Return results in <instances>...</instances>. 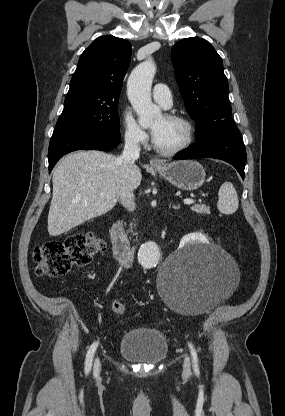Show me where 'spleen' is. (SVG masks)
<instances>
[{"label":"spleen","instance_id":"1","mask_svg":"<svg viewBox=\"0 0 285 416\" xmlns=\"http://www.w3.org/2000/svg\"><path fill=\"white\" fill-rule=\"evenodd\" d=\"M218 196L217 208L221 214H234L238 210V196L231 182L222 184Z\"/></svg>","mask_w":285,"mask_h":416}]
</instances>
